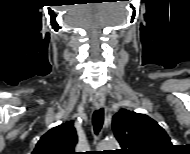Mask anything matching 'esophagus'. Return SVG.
<instances>
[{
    "mask_svg": "<svg viewBox=\"0 0 190 154\" xmlns=\"http://www.w3.org/2000/svg\"><path fill=\"white\" fill-rule=\"evenodd\" d=\"M105 104V97L103 94L98 93L94 99V107L96 109L101 108Z\"/></svg>",
    "mask_w": 190,
    "mask_h": 154,
    "instance_id": "1",
    "label": "esophagus"
}]
</instances>
